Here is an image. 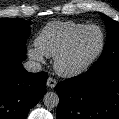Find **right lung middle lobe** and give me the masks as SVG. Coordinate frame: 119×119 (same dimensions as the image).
<instances>
[{
    "label": "right lung middle lobe",
    "mask_w": 119,
    "mask_h": 119,
    "mask_svg": "<svg viewBox=\"0 0 119 119\" xmlns=\"http://www.w3.org/2000/svg\"><path fill=\"white\" fill-rule=\"evenodd\" d=\"M30 24L21 18H0V50L25 54Z\"/></svg>",
    "instance_id": "1"
}]
</instances>
